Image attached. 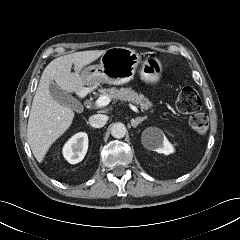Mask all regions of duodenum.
Here are the masks:
<instances>
[{"label":"duodenum","instance_id":"duodenum-1","mask_svg":"<svg viewBox=\"0 0 240 240\" xmlns=\"http://www.w3.org/2000/svg\"><path fill=\"white\" fill-rule=\"evenodd\" d=\"M78 96H79L80 98H83V97H84V92L79 91V92H78Z\"/></svg>","mask_w":240,"mask_h":240}]
</instances>
